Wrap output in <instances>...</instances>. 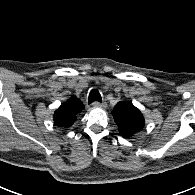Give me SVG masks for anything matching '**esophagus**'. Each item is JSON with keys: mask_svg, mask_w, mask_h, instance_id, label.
<instances>
[{"mask_svg": "<svg viewBox=\"0 0 195 195\" xmlns=\"http://www.w3.org/2000/svg\"><path fill=\"white\" fill-rule=\"evenodd\" d=\"M93 107H100V108H105L106 107V103H100V102H94Z\"/></svg>", "mask_w": 195, "mask_h": 195, "instance_id": "esophagus-1", "label": "esophagus"}]
</instances>
